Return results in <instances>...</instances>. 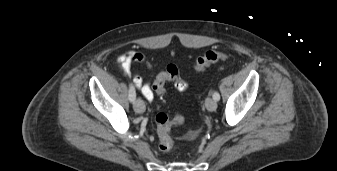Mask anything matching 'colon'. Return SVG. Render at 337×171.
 <instances>
[{
  "instance_id": "colon-1",
  "label": "colon",
  "mask_w": 337,
  "mask_h": 171,
  "mask_svg": "<svg viewBox=\"0 0 337 171\" xmlns=\"http://www.w3.org/2000/svg\"><path fill=\"white\" fill-rule=\"evenodd\" d=\"M228 58V54L216 50H208L202 56L197 58L195 63L196 71H203L213 63L224 61ZM171 81L175 87L184 91L189 87V83L181 78L177 66L170 64L165 71L160 73L156 78L153 89L158 95L165 93V83ZM183 122V116L180 114L170 118L165 113H158L155 116V124L158 135L159 149L163 153H169L173 148V139L171 137V130Z\"/></svg>"
}]
</instances>
